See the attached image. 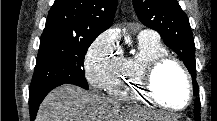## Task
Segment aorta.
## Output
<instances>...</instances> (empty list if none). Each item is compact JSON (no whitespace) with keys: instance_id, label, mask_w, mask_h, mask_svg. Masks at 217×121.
I'll return each mask as SVG.
<instances>
[{"instance_id":"aorta-1","label":"aorta","mask_w":217,"mask_h":121,"mask_svg":"<svg viewBox=\"0 0 217 121\" xmlns=\"http://www.w3.org/2000/svg\"><path fill=\"white\" fill-rule=\"evenodd\" d=\"M125 40H126V43H129V44H130L131 41H130V38H129V37L126 38Z\"/></svg>"}]
</instances>
